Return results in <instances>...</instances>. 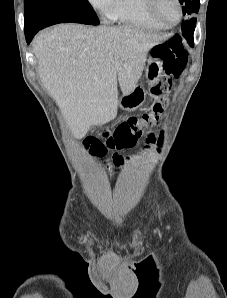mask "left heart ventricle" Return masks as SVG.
<instances>
[{"instance_id":"obj_1","label":"left heart ventricle","mask_w":227,"mask_h":298,"mask_svg":"<svg viewBox=\"0 0 227 298\" xmlns=\"http://www.w3.org/2000/svg\"><path fill=\"white\" fill-rule=\"evenodd\" d=\"M158 12L161 17L169 23L175 22L179 16L178 6L175 0H160Z\"/></svg>"}]
</instances>
